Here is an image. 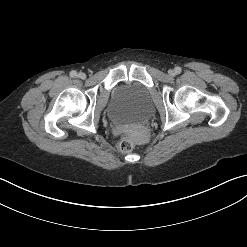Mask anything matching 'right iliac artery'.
<instances>
[{
	"label": "right iliac artery",
	"instance_id": "right-iliac-artery-1",
	"mask_svg": "<svg viewBox=\"0 0 247 247\" xmlns=\"http://www.w3.org/2000/svg\"><path fill=\"white\" fill-rule=\"evenodd\" d=\"M70 76H71V77H75V76H77V72H76V71H74V70H73V71H71V72H70Z\"/></svg>",
	"mask_w": 247,
	"mask_h": 247
}]
</instances>
